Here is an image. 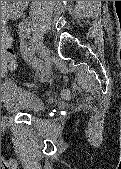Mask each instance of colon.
I'll return each mask as SVG.
<instances>
[{
  "instance_id": "colon-1",
  "label": "colon",
  "mask_w": 121,
  "mask_h": 169,
  "mask_svg": "<svg viewBox=\"0 0 121 169\" xmlns=\"http://www.w3.org/2000/svg\"><path fill=\"white\" fill-rule=\"evenodd\" d=\"M2 69L9 70L13 69L16 65V56L11 48V45L7 40H4L2 43ZM64 97H68L69 93L67 91H62Z\"/></svg>"
}]
</instances>
